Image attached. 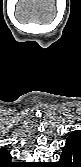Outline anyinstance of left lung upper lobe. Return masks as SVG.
<instances>
[{"label":"left lung upper lobe","mask_w":81,"mask_h":167,"mask_svg":"<svg viewBox=\"0 0 81 167\" xmlns=\"http://www.w3.org/2000/svg\"><path fill=\"white\" fill-rule=\"evenodd\" d=\"M67 141H75L81 144V131L80 130H75L71 132L69 137L67 138Z\"/></svg>","instance_id":"1"}]
</instances>
